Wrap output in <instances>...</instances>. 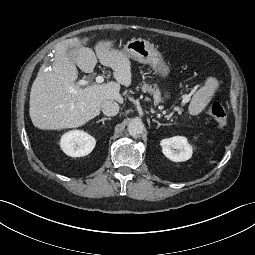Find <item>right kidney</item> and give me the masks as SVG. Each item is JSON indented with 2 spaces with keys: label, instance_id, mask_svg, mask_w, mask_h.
<instances>
[{
  "label": "right kidney",
  "instance_id": "ca27d5eb",
  "mask_svg": "<svg viewBox=\"0 0 255 255\" xmlns=\"http://www.w3.org/2000/svg\"><path fill=\"white\" fill-rule=\"evenodd\" d=\"M95 139L83 130H72L62 135L60 147L71 157H82L92 152Z\"/></svg>",
  "mask_w": 255,
  "mask_h": 255
}]
</instances>
